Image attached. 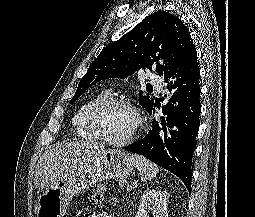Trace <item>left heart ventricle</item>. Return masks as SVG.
Returning a JSON list of instances; mask_svg holds the SVG:
<instances>
[{"instance_id":"obj_1","label":"left heart ventricle","mask_w":255,"mask_h":217,"mask_svg":"<svg viewBox=\"0 0 255 217\" xmlns=\"http://www.w3.org/2000/svg\"><path fill=\"white\" fill-rule=\"evenodd\" d=\"M103 129L107 136L122 139L130 134L136 124V117L127 107H114L105 112L102 118Z\"/></svg>"}]
</instances>
